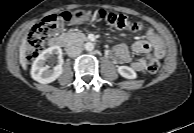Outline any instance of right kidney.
I'll list each match as a JSON object with an SVG mask.
<instances>
[{
	"instance_id": "obj_1",
	"label": "right kidney",
	"mask_w": 194,
	"mask_h": 133,
	"mask_svg": "<svg viewBox=\"0 0 194 133\" xmlns=\"http://www.w3.org/2000/svg\"><path fill=\"white\" fill-rule=\"evenodd\" d=\"M56 55L58 64L50 69L46 61ZM62 49L59 46H52L44 51L35 59L31 68V77L39 83L47 84L55 81L63 72Z\"/></svg>"
}]
</instances>
